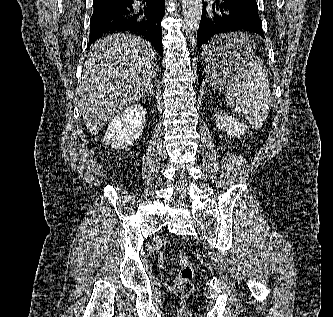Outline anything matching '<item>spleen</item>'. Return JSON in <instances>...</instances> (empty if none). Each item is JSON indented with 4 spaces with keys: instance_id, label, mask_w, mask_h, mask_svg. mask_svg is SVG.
Instances as JSON below:
<instances>
[{
    "instance_id": "3e777b00",
    "label": "spleen",
    "mask_w": 333,
    "mask_h": 317,
    "mask_svg": "<svg viewBox=\"0 0 333 317\" xmlns=\"http://www.w3.org/2000/svg\"><path fill=\"white\" fill-rule=\"evenodd\" d=\"M224 42L236 55L249 57V62L241 65V70L227 88L225 98L229 106L245 117L254 129L260 128L265 122L271 105V90L266 70L250 51L253 42L246 33L227 35Z\"/></svg>"
}]
</instances>
